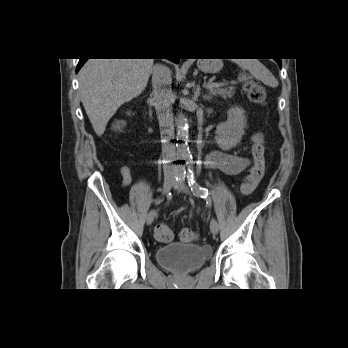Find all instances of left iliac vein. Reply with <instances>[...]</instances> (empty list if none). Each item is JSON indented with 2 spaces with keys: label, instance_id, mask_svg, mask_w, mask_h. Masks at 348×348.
<instances>
[{
  "label": "left iliac vein",
  "instance_id": "4c4485c4",
  "mask_svg": "<svg viewBox=\"0 0 348 348\" xmlns=\"http://www.w3.org/2000/svg\"><path fill=\"white\" fill-rule=\"evenodd\" d=\"M176 186H177V188H179V190H181L185 193H189V189L184 183H179V184L175 183V187ZM210 231L213 235H216L219 231V225L215 219H212L210 222Z\"/></svg>",
  "mask_w": 348,
  "mask_h": 348
}]
</instances>
